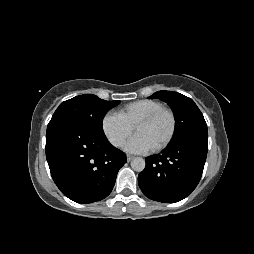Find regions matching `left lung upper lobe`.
Wrapping results in <instances>:
<instances>
[{"instance_id": "obj_1", "label": "left lung upper lobe", "mask_w": 254, "mask_h": 254, "mask_svg": "<svg viewBox=\"0 0 254 254\" xmlns=\"http://www.w3.org/2000/svg\"><path fill=\"white\" fill-rule=\"evenodd\" d=\"M149 98H159L172 108L176 120L175 132L170 144L190 137H208L203 114L189 97L173 91H158Z\"/></svg>"}]
</instances>
